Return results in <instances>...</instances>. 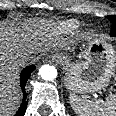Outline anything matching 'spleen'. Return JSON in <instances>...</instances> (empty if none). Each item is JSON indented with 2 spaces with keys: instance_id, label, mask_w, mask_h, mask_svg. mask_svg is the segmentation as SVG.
<instances>
[{
  "instance_id": "1",
  "label": "spleen",
  "mask_w": 116,
  "mask_h": 116,
  "mask_svg": "<svg viewBox=\"0 0 116 116\" xmlns=\"http://www.w3.org/2000/svg\"><path fill=\"white\" fill-rule=\"evenodd\" d=\"M69 100L78 116H116V95L107 97L101 104L75 94H70Z\"/></svg>"
}]
</instances>
